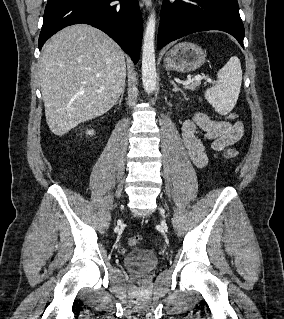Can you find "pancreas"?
<instances>
[{"label": "pancreas", "mask_w": 284, "mask_h": 319, "mask_svg": "<svg viewBox=\"0 0 284 319\" xmlns=\"http://www.w3.org/2000/svg\"><path fill=\"white\" fill-rule=\"evenodd\" d=\"M199 85H200L199 82H193L191 85L186 86L185 88H186V89H190V90H195L196 87H198ZM200 100H201V99H200Z\"/></svg>", "instance_id": "1"}]
</instances>
